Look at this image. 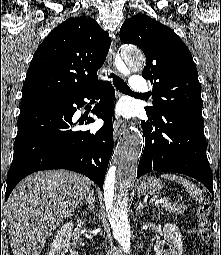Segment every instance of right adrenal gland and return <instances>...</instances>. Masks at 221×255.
<instances>
[{"label": "right adrenal gland", "mask_w": 221, "mask_h": 255, "mask_svg": "<svg viewBox=\"0 0 221 255\" xmlns=\"http://www.w3.org/2000/svg\"><path fill=\"white\" fill-rule=\"evenodd\" d=\"M94 202H95V198L93 196V192L89 191L87 196H85V199L82 202H80V206H82L84 203L88 207V210L93 212L95 209Z\"/></svg>", "instance_id": "1"}]
</instances>
